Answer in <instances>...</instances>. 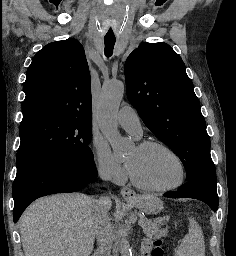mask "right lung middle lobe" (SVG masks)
Segmentation results:
<instances>
[{"label": "right lung middle lobe", "instance_id": "dd1d6c3e", "mask_svg": "<svg viewBox=\"0 0 236 256\" xmlns=\"http://www.w3.org/2000/svg\"><path fill=\"white\" fill-rule=\"evenodd\" d=\"M91 121L55 115H35L20 124L17 171L33 163L52 159L94 161L89 148Z\"/></svg>", "mask_w": 236, "mask_h": 256}]
</instances>
